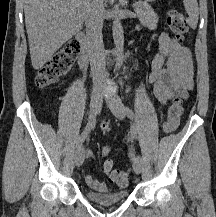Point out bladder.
<instances>
[{"label":"bladder","instance_id":"1","mask_svg":"<svg viewBox=\"0 0 216 217\" xmlns=\"http://www.w3.org/2000/svg\"><path fill=\"white\" fill-rule=\"evenodd\" d=\"M86 197L97 204L100 205H113L125 201L128 197V191L126 189H121L106 193H97L91 190H86Z\"/></svg>","mask_w":216,"mask_h":217}]
</instances>
